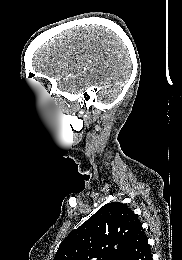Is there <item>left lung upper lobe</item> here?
<instances>
[{
  "mask_svg": "<svg viewBox=\"0 0 182 260\" xmlns=\"http://www.w3.org/2000/svg\"><path fill=\"white\" fill-rule=\"evenodd\" d=\"M141 227L136 214L120 202L102 206L62 241L54 260H120Z\"/></svg>",
  "mask_w": 182,
  "mask_h": 260,
  "instance_id": "left-lung-upper-lobe-1",
  "label": "left lung upper lobe"
}]
</instances>
